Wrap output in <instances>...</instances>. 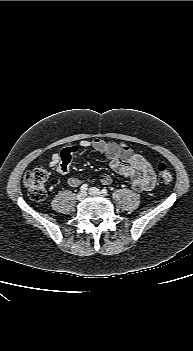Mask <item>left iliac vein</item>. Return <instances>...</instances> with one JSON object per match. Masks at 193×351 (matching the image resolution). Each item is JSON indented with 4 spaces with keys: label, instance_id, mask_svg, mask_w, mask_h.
Masks as SVG:
<instances>
[{
    "label": "left iliac vein",
    "instance_id": "4c4485c4",
    "mask_svg": "<svg viewBox=\"0 0 193 351\" xmlns=\"http://www.w3.org/2000/svg\"><path fill=\"white\" fill-rule=\"evenodd\" d=\"M88 193L90 195H100L102 192L96 188V187H91L89 190H88Z\"/></svg>",
    "mask_w": 193,
    "mask_h": 351
}]
</instances>
